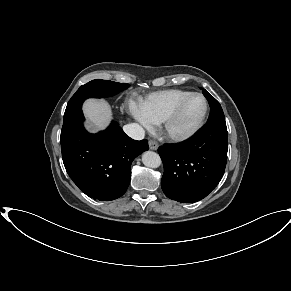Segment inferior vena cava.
Listing matches in <instances>:
<instances>
[{
	"label": "inferior vena cava",
	"mask_w": 291,
	"mask_h": 291,
	"mask_svg": "<svg viewBox=\"0 0 291 291\" xmlns=\"http://www.w3.org/2000/svg\"><path fill=\"white\" fill-rule=\"evenodd\" d=\"M124 132L135 140H142L145 136L144 129L138 124H127L123 127Z\"/></svg>",
	"instance_id": "1"
}]
</instances>
